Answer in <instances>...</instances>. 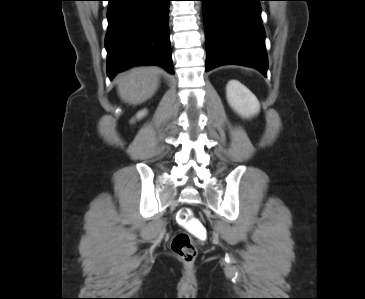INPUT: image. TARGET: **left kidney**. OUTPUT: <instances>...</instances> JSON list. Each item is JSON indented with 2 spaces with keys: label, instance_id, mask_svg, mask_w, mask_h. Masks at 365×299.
I'll return each instance as SVG.
<instances>
[{
  "label": "left kidney",
  "instance_id": "left-kidney-1",
  "mask_svg": "<svg viewBox=\"0 0 365 299\" xmlns=\"http://www.w3.org/2000/svg\"><path fill=\"white\" fill-rule=\"evenodd\" d=\"M226 94L230 106L242 117L248 118L259 112L260 105L257 98L239 81H229Z\"/></svg>",
  "mask_w": 365,
  "mask_h": 299
}]
</instances>
